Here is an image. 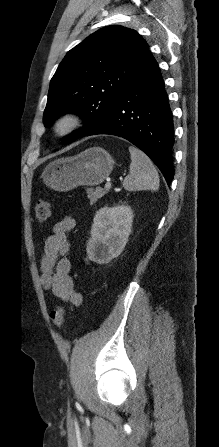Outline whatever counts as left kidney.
<instances>
[{
  "label": "left kidney",
  "mask_w": 219,
  "mask_h": 447,
  "mask_svg": "<svg viewBox=\"0 0 219 447\" xmlns=\"http://www.w3.org/2000/svg\"><path fill=\"white\" fill-rule=\"evenodd\" d=\"M133 211L129 206L103 207L94 217L88 258L98 264L109 263L123 251L131 233Z\"/></svg>",
  "instance_id": "5707ae66"
}]
</instances>
